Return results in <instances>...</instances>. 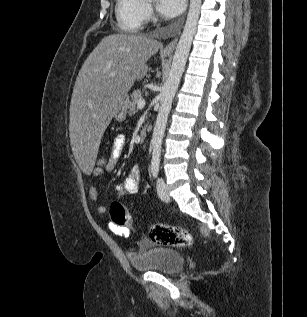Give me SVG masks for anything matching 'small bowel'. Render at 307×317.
<instances>
[{
  "mask_svg": "<svg viewBox=\"0 0 307 317\" xmlns=\"http://www.w3.org/2000/svg\"><path fill=\"white\" fill-rule=\"evenodd\" d=\"M126 145V138L124 135L119 134L114 138L111 154L108 158V162L104 168H94L91 171V178L92 183L89 189V196L90 199L96 203V211L98 214L104 215L107 213V208L98 201V189H97V182L98 180L105 174L112 172L124 151ZM140 179H141V172L138 166H134L128 176L126 177L125 181L121 184H118L115 187V193L119 198H124L128 194H136L139 191L140 186ZM109 229L116 235L122 237L129 236V230L127 228L119 227L114 223H109Z\"/></svg>",
  "mask_w": 307,
  "mask_h": 317,
  "instance_id": "1",
  "label": "small bowel"
}]
</instances>
